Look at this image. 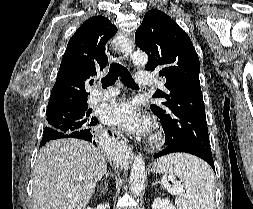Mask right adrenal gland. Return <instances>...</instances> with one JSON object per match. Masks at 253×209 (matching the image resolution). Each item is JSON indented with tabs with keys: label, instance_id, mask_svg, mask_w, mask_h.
Listing matches in <instances>:
<instances>
[{
	"label": "right adrenal gland",
	"instance_id": "obj_1",
	"mask_svg": "<svg viewBox=\"0 0 253 209\" xmlns=\"http://www.w3.org/2000/svg\"><path fill=\"white\" fill-rule=\"evenodd\" d=\"M103 175H105V177H109L110 176L109 172L106 169L104 170Z\"/></svg>",
	"mask_w": 253,
	"mask_h": 209
}]
</instances>
